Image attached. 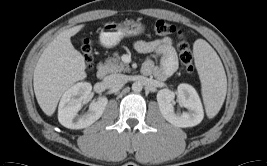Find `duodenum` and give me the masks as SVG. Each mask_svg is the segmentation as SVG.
<instances>
[{"instance_id": "1", "label": "duodenum", "mask_w": 267, "mask_h": 166, "mask_svg": "<svg viewBox=\"0 0 267 166\" xmlns=\"http://www.w3.org/2000/svg\"><path fill=\"white\" fill-rule=\"evenodd\" d=\"M106 74V69L104 67H100L97 71H96V77L99 80H102L105 77Z\"/></svg>"}]
</instances>
